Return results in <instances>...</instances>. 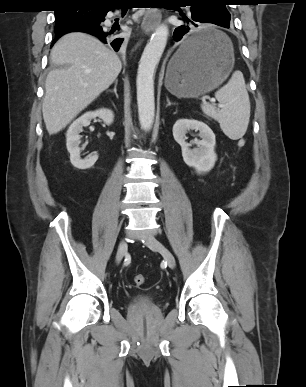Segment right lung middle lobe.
<instances>
[{
	"label": "right lung middle lobe",
	"mask_w": 306,
	"mask_h": 387,
	"mask_svg": "<svg viewBox=\"0 0 306 387\" xmlns=\"http://www.w3.org/2000/svg\"><path fill=\"white\" fill-rule=\"evenodd\" d=\"M98 10L94 7H86L81 10L62 8L55 11V32L64 30L70 26L88 22V19Z\"/></svg>",
	"instance_id": "dd1d6c3e"
}]
</instances>
